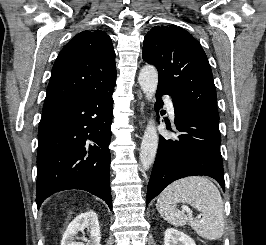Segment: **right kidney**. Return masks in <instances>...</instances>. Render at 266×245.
<instances>
[{
	"instance_id": "obj_1",
	"label": "right kidney",
	"mask_w": 266,
	"mask_h": 245,
	"mask_svg": "<svg viewBox=\"0 0 266 245\" xmlns=\"http://www.w3.org/2000/svg\"><path fill=\"white\" fill-rule=\"evenodd\" d=\"M72 225L74 245H84V243H77V241H75V239H78L76 235H78V233H84V229H87V233H89V239L86 241V245H100V227L98 217L94 211H87V213L77 215L76 219H73ZM83 241H85V239H83Z\"/></svg>"
}]
</instances>
